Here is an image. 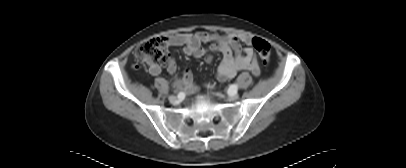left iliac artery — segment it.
<instances>
[{
  "instance_id": "1",
  "label": "left iliac artery",
  "mask_w": 406,
  "mask_h": 168,
  "mask_svg": "<svg viewBox=\"0 0 406 168\" xmlns=\"http://www.w3.org/2000/svg\"><path fill=\"white\" fill-rule=\"evenodd\" d=\"M238 89L237 84H232L230 85L229 89H228V94H232V93H236Z\"/></svg>"
}]
</instances>
